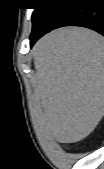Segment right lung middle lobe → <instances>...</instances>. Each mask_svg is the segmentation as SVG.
<instances>
[{
  "label": "right lung middle lobe",
  "instance_id": "1",
  "mask_svg": "<svg viewBox=\"0 0 104 169\" xmlns=\"http://www.w3.org/2000/svg\"><path fill=\"white\" fill-rule=\"evenodd\" d=\"M57 7L58 0H35L32 14V31L40 29Z\"/></svg>",
  "mask_w": 104,
  "mask_h": 169
}]
</instances>
